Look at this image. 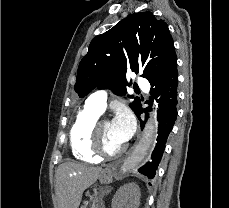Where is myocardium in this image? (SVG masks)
<instances>
[{
    "label": "myocardium",
    "mask_w": 229,
    "mask_h": 208,
    "mask_svg": "<svg viewBox=\"0 0 229 208\" xmlns=\"http://www.w3.org/2000/svg\"><path fill=\"white\" fill-rule=\"evenodd\" d=\"M102 123H109L108 121H95L91 128V136L94 140V143L91 144V153H96V158H104V156L117 157L123 154L126 150V145L121 146L120 148L114 149L113 152H105V144L103 140L105 139L99 131V127Z\"/></svg>",
    "instance_id": "obj_1"
}]
</instances>
